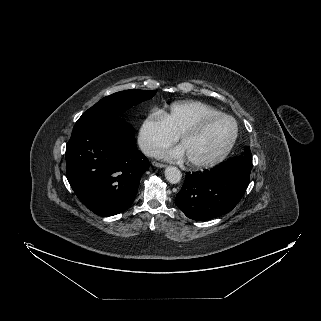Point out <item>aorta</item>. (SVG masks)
<instances>
[{
  "label": "aorta",
  "mask_w": 321,
  "mask_h": 321,
  "mask_svg": "<svg viewBox=\"0 0 321 321\" xmlns=\"http://www.w3.org/2000/svg\"><path fill=\"white\" fill-rule=\"evenodd\" d=\"M165 177L169 183L177 184L181 181L182 174L178 168L174 166H168L165 169Z\"/></svg>",
  "instance_id": "762f6f07"
}]
</instances>
